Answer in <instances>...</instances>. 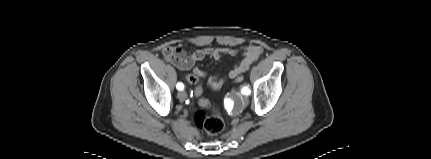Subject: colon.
<instances>
[{
  "instance_id": "1",
  "label": "colon",
  "mask_w": 431,
  "mask_h": 159,
  "mask_svg": "<svg viewBox=\"0 0 431 159\" xmlns=\"http://www.w3.org/2000/svg\"><path fill=\"white\" fill-rule=\"evenodd\" d=\"M185 81L191 83L194 87V95L197 97V103L200 105L194 116L196 126L208 135H216L224 129V121L219 110L213 107L203 95V86L200 78L194 74L185 73ZM244 81V74L238 75L235 84ZM206 110H209L207 112Z\"/></svg>"
}]
</instances>
